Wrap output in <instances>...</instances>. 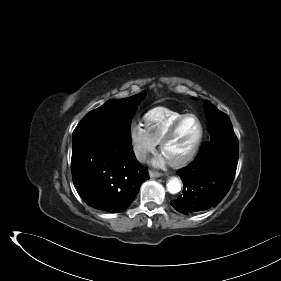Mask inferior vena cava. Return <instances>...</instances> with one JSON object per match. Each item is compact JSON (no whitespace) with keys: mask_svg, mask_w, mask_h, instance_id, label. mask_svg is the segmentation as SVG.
<instances>
[{"mask_svg":"<svg viewBox=\"0 0 281 281\" xmlns=\"http://www.w3.org/2000/svg\"><path fill=\"white\" fill-rule=\"evenodd\" d=\"M134 152H135L136 158L139 161L143 162L147 159V152L144 149L136 147L134 149Z\"/></svg>","mask_w":281,"mask_h":281,"instance_id":"inferior-vena-cava-1","label":"inferior vena cava"}]
</instances>
